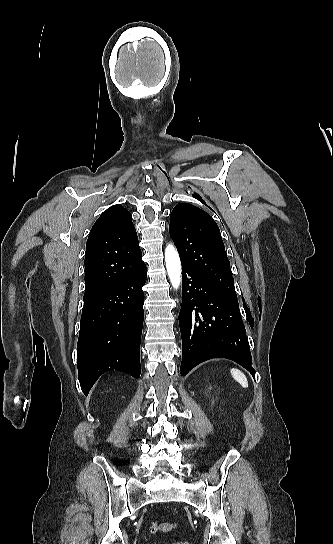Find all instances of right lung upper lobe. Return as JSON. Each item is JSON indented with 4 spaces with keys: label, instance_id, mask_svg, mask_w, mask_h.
Wrapping results in <instances>:
<instances>
[{
    "label": "right lung upper lobe",
    "instance_id": "right-lung-upper-lobe-1",
    "mask_svg": "<svg viewBox=\"0 0 333 544\" xmlns=\"http://www.w3.org/2000/svg\"><path fill=\"white\" fill-rule=\"evenodd\" d=\"M130 212L117 204L97 219L85 253L84 300L98 296L144 264Z\"/></svg>",
    "mask_w": 333,
    "mask_h": 544
}]
</instances>
